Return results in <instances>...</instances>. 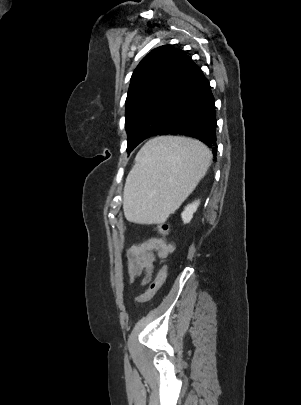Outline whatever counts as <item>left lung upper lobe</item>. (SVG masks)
<instances>
[{
	"label": "left lung upper lobe",
	"mask_w": 301,
	"mask_h": 405,
	"mask_svg": "<svg viewBox=\"0 0 301 405\" xmlns=\"http://www.w3.org/2000/svg\"><path fill=\"white\" fill-rule=\"evenodd\" d=\"M193 63L182 50L163 45L148 53L138 64L126 99L127 152L134 139L153 136L180 96Z\"/></svg>",
	"instance_id": "left-lung-upper-lobe-1"
}]
</instances>
